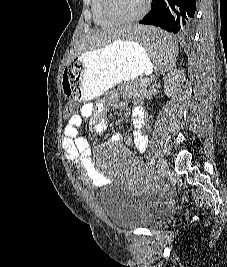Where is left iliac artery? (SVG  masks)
Instances as JSON below:
<instances>
[{
  "instance_id": "left-iliac-artery-1",
  "label": "left iliac artery",
  "mask_w": 227,
  "mask_h": 267,
  "mask_svg": "<svg viewBox=\"0 0 227 267\" xmlns=\"http://www.w3.org/2000/svg\"><path fill=\"white\" fill-rule=\"evenodd\" d=\"M154 163H155V158L153 157L151 160V164H154Z\"/></svg>"
}]
</instances>
